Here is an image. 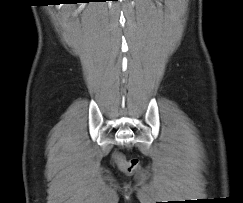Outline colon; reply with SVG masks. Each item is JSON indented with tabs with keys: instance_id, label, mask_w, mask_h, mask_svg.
Returning <instances> with one entry per match:
<instances>
[{
	"instance_id": "5ec220e1",
	"label": "colon",
	"mask_w": 243,
	"mask_h": 203,
	"mask_svg": "<svg viewBox=\"0 0 243 203\" xmlns=\"http://www.w3.org/2000/svg\"><path fill=\"white\" fill-rule=\"evenodd\" d=\"M115 160L119 167L128 174H133L139 171V162L137 159L125 160L121 155H116Z\"/></svg>"
}]
</instances>
